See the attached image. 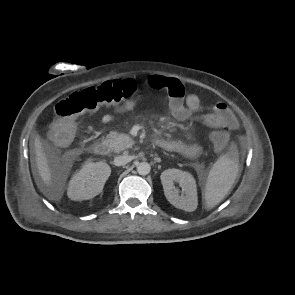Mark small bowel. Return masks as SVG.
<instances>
[{
    "label": "small bowel",
    "mask_w": 295,
    "mask_h": 295,
    "mask_svg": "<svg viewBox=\"0 0 295 295\" xmlns=\"http://www.w3.org/2000/svg\"><path fill=\"white\" fill-rule=\"evenodd\" d=\"M145 87L156 90H166L169 95V114L178 121L189 119L193 113L202 107L200 98L196 94H186L182 83L170 77L161 75H151L145 84H139L137 97H139ZM137 104V98L125 102L114 108L113 114H106L102 118L104 124L110 123L114 115L132 111ZM204 123L211 128L236 129L238 121L233 112L224 103H216L212 111L203 117ZM159 147L164 150L180 153L187 157H196L202 151L199 143H189L182 140L160 139Z\"/></svg>",
    "instance_id": "small-bowel-1"
}]
</instances>
